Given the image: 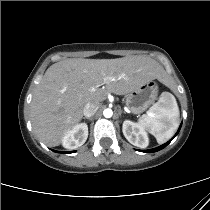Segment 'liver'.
<instances>
[{
  "mask_svg": "<svg viewBox=\"0 0 210 210\" xmlns=\"http://www.w3.org/2000/svg\"><path fill=\"white\" fill-rule=\"evenodd\" d=\"M108 77L114 81H105ZM155 79L166 83L164 69L145 56L59 61L36 87L30 110L33 130L46 145L58 146L81 121L88 102L99 104L109 93L124 95Z\"/></svg>",
  "mask_w": 210,
  "mask_h": 210,
  "instance_id": "1",
  "label": "liver"
}]
</instances>
